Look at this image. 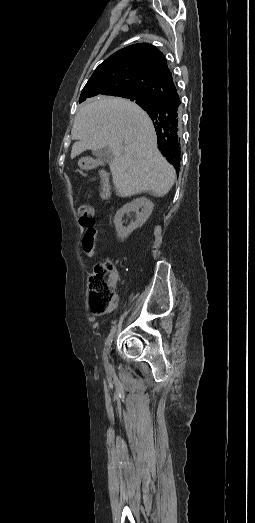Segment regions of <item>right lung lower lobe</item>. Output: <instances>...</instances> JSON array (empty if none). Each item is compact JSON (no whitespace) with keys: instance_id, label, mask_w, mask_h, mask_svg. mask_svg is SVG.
I'll return each mask as SVG.
<instances>
[{"instance_id":"obj_1","label":"right lung lower lobe","mask_w":255,"mask_h":523,"mask_svg":"<svg viewBox=\"0 0 255 523\" xmlns=\"http://www.w3.org/2000/svg\"><path fill=\"white\" fill-rule=\"evenodd\" d=\"M179 109H180L179 102H177V101L165 102V103L160 104V106H157L154 109H152L151 116L154 119H159L162 116H164V114L174 113V112L179 111ZM178 170H179V168H178Z\"/></svg>"}]
</instances>
